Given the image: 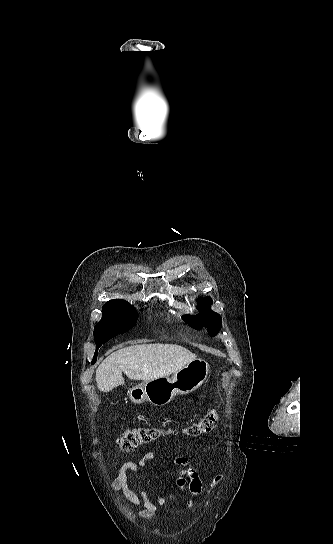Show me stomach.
<instances>
[{
	"label": "stomach",
	"instance_id": "0dacf381",
	"mask_svg": "<svg viewBox=\"0 0 333 544\" xmlns=\"http://www.w3.org/2000/svg\"><path fill=\"white\" fill-rule=\"evenodd\" d=\"M208 373L209 364L203 359H195L172 377H159L131 388L128 396L134 404L150 402L155 406H164L177 394L196 390L206 380Z\"/></svg>",
	"mask_w": 333,
	"mask_h": 544
}]
</instances>
